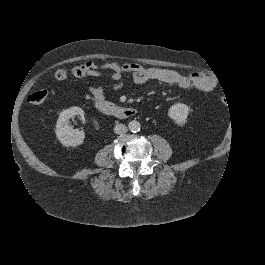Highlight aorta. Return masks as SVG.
<instances>
[{
	"instance_id": "762f6f07",
	"label": "aorta",
	"mask_w": 265,
	"mask_h": 265,
	"mask_svg": "<svg viewBox=\"0 0 265 265\" xmlns=\"http://www.w3.org/2000/svg\"><path fill=\"white\" fill-rule=\"evenodd\" d=\"M128 128L132 132H137L140 130V123L137 120H132L129 122Z\"/></svg>"
}]
</instances>
